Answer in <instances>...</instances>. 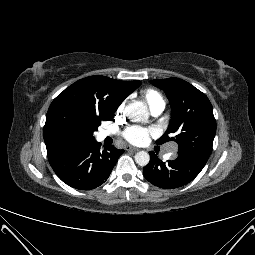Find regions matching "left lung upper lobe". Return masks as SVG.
<instances>
[{"label": "left lung upper lobe", "mask_w": 255, "mask_h": 255, "mask_svg": "<svg viewBox=\"0 0 255 255\" xmlns=\"http://www.w3.org/2000/svg\"><path fill=\"white\" fill-rule=\"evenodd\" d=\"M151 83L164 90L172 108L169 127L157 144L174 140L178 144V156L207 162L216 132L212 105L207 96L175 77L152 80ZM169 134L175 137H169Z\"/></svg>", "instance_id": "obj_1"}]
</instances>
